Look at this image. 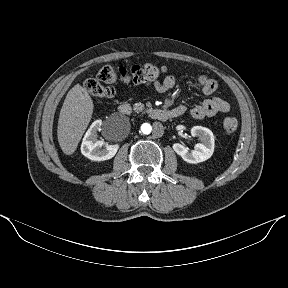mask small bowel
<instances>
[{
	"label": "small bowel",
	"mask_w": 288,
	"mask_h": 288,
	"mask_svg": "<svg viewBox=\"0 0 288 288\" xmlns=\"http://www.w3.org/2000/svg\"><path fill=\"white\" fill-rule=\"evenodd\" d=\"M177 78L174 75H168L163 80H156L146 85H153L159 92H169L175 86ZM198 85L202 93L209 98L205 99L202 103L194 105L190 108L189 113L195 119H203L205 117H213L219 113H226L230 110V105L227 101L212 96L217 89V83L215 80L200 75L197 77ZM175 109H180L184 114L187 108L184 105H178Z\"/></svg>",
	"instance_id": "c3829d8e"
}]
</instances>
